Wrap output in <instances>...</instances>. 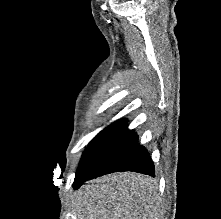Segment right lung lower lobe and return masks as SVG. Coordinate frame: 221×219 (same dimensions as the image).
Masks as SVG:
<instances>
[{
	"label": "right lung lower lobe",
	"mask_w": 221,
	"mask_h": 219,
	"mask_svg": "<svg viewBox=\"0 0 221 219\" xmlns=\"http://www.w3.org/2000/svg\"><path fill=\"white\" fill-rule=\"evenodd\" d=\"M126 120H119L101 131L83 153L73 186L117 171H135L154 177V164L138 136L128 130Z\"/></svg>",
	"instance_id": "98d812e1"
}]
</instances>
